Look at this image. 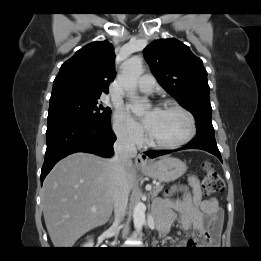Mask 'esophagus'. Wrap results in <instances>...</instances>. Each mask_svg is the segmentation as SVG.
<instances>
[{
  "instance_id": "34e87169",
  "label": "esophagus",
  "mask_w": 261,
  "mask_h": 261,
  "mask_svg": "<svg viewBox=\"0 0 261 261\" xmlns=\"http://www.w3.org/2000/svg\"><path fill=\"white\" fill-rule=\"evenodd\" d=\"M150 165L147 155L145 154H138L135 158V166L138 169L147 168Z\"/></svg>"
}]
</instances>
